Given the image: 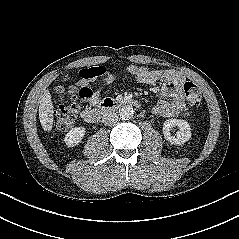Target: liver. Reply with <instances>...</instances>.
I'll return each mask as SVG.
<instances>
[{"label":"liver","mask_w":239,"mask_h":239,"mask_svg":"<svg viewBox=\"0 0 239 239\" xmlns=\"http://www.w3.org/2000/svg\"><path fill=\"white\" fill-rule=\"evenodd\" d=\"M39 119L44 131H51L53 128V103L49 90H45L40 98Z\"/></svg>","instance_id":"6515ba94"}]
</instances>
